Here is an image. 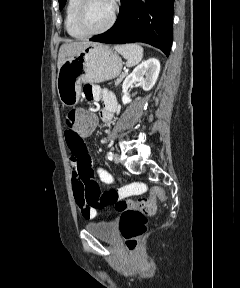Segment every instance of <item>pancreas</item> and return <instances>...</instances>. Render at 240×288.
<instances>
[{
    "label": "pancreas",
    "instance_id": "obj_1",
    "mask_svg": "<svg viewBox=\"0 0 240 288\" xmlns=\"http://www.w3.org/2000/svg\"><path fill=\"white\" fill-rule=\"evenodd\" d=\"M126 76V73L121 74L116 80H115V85H118L123 78Z\"/></svg>",
    "mask_w": 240,
    "mask_h": 288
}]
</instances>
